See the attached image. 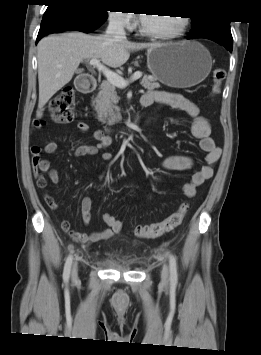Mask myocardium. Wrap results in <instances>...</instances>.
Instances as JSON below:
<instances>
[{
	"label": "myocardium",
	"instance_id": "f54148a6",
	"mask_svg": "<svg viewBox=\"0 0 261 355\" xmlns=\"http://www.w3.org/2000/svg\"><path fill=\"white\" fill-rule=\"evenodd\" d=\"M180 19V26L179 28L172 32V33H157V32H152L147 30L144 25L142 20L140 21V25H139V31L142 35L151 38V39H155V40H173L176 39L178 37H180L181 35H183V33L186 31L187 27H188V23H189V19L186 16H178Z\"/></svg>",
	"mask_w": 261,
	"mask_h": 355
}]
</instances>
